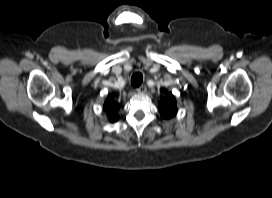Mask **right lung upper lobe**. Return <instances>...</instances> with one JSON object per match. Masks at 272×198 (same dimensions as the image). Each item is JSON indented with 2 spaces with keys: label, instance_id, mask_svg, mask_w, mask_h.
Masks as SVG:
<instances>
[{
  "label": "right lung upper lobe",
  "instance_id": "obj_1",
  "mask_svg": "<svg viewBox=\"0 0 272 198\" xmlns=\"http://www.w3.org/2000/svg\"><path fill=\"white\" fill-rule=\"evenodd\" d=\"M113 98H114L113 95H109L104 104V109L110 113H113L119 109V104L115 103ZM117 119L118 116L113 114V116L110 118V121L114 122Z\"/></svg>",
  "mask_w": 272,
  "mask_h": 198
}]
</instances>
